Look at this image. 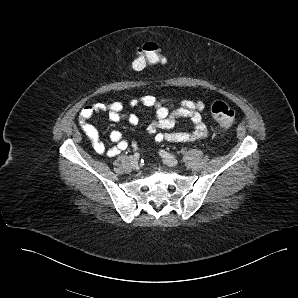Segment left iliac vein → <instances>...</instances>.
Returning a JSON list of instances; mask_svg holds the SVG:
<instances>
[{
    "instance_id": "1",
    "label": "left iliac vein",
    "mask_w": 298,
    "mask_h": 298,
    "mask_svg": "<svg viewBox=\"0 0 298 298\" xmlns=\"http://www.w3.org/2000/svg\"><path fill=\"white\" fill-rule=\"evenodd\" d=\"M163 161L169 166H176L178 164V161L174 157H163Z\"/></svg>"
}]
</instances>
